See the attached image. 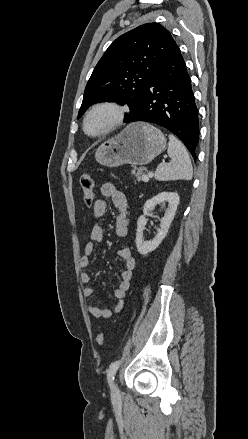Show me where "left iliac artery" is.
Listing matches in <instances>:
<instances>
[{
  "instance_id": "left-iliac-artery-1",
  "label": "left iliac artery",
  "mask_w": 248,
  "mask_h": 439,
  "mask_svg": "<svg viewBox=\"0 0 248 439\" xmlns=\"http://www.w3.org/2000/svg\"><path fill=\"white\" fill-rule=\"evenodd\" d=\"M121 361L117 360L113 362L108 369V382L111 383L114 380V376L120 366Z\"/></svg>"
}]
</instances>
